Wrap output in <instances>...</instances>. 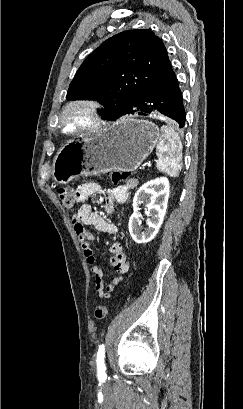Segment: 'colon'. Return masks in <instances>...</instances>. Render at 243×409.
I'll use <instances>...</instances> for the list:
<instances>
[{"instance_id": "obj_1", "label": "colon", "mask_w": 243, "mask_h": 409, "mask_svg": "<svg viewBox=\"0 0 243 409\" xmlns=\"http://www.w3.org/2000/svg\"><path fill=\"white\" fill-rule=\"evenodd\" d=\"M130 176V173L125 170H115L110 172L109 177L114 183H118L120 181L127 180ZM57 195L60 201L62 202L63 206L69 210L74 211L79 199L76 194V191L72 190L68 187H60L57 190ZM108 314V305L102 304L95 308L94 315L97 320H104Z\"/></svg>"}]
</instances>
